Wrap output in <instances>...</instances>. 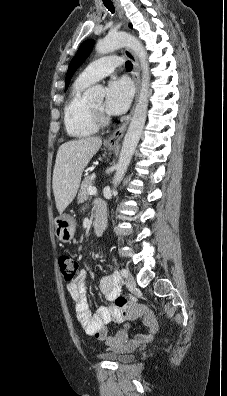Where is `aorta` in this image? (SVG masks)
I'll list each match as a JSON object with an SVG mask.
<instances>
[{
  "mask_svg": "<svg viewBox=\"0 0 227 396\" xmlns=\"http://www.w3.org/2000/svg\"><path fill=\"white\" fill-rule=\"evenodd\" d=\"M121 47L130 48L139 58L142 68V82L138 101L122 143L120 157L116 166V173L113 178V192H115V188L123 179L144 128L148 109L150 80L147 52L142 43L134 36L124 32L110 33L104 39L98 41L96 51L98 54L104 55ZM86 96L93 99H101L102 97L98 87L88 89L86 91Z\"/></svg>",
  "mask_w": 227,
  "mask_h": 396,
  "instance_id": "1",
  "label": "aorta"
}]
</instances>
